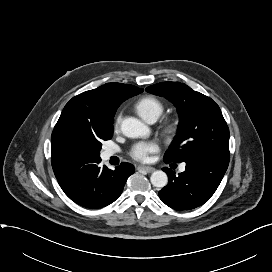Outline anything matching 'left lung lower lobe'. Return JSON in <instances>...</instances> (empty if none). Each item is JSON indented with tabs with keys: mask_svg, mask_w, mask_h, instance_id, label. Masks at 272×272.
<instances>
[{
	"mask_svg": "<svg viewBox=\"0 0 272 272\" xmlns=\"http://www.w3.org/2000/svg\"><path fill=\"white\" fill-rule=\"evenodd\" d=\"M229 159L228 154L201 155L185 162V171L178 176L170 169L163 168L169 182L159 192L160 199L176 210H190L203 205L219 186Z\"/></svg>",
	"mask_w": 272,
	"mask_h": 272,
	"instance_id": "obj_1",
	"label": "left lung lower lobe"
}]
</instances>
